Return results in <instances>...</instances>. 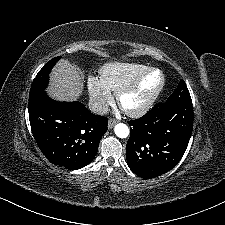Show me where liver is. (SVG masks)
<instances>
[{
    "label": "liver",
    "mask_w": 225,
    "mask_h": 225,
    "mask_svg": "<svg viewBox=\"0 0 225 225\" xmlns=\"http://www.w3.org/2000/svg\"><path fill=\"white\" fill-rule=\"evenodd\" d=\"M83 91V74L74 64L62 59L51 75L47 92L60 101H75Z\"/></svg>",
    "instance_id": "6515ba94"
}]
</instances>
